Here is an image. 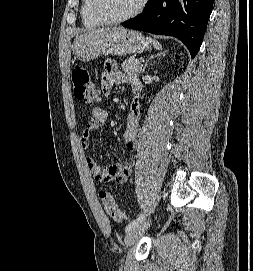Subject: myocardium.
Segmentation results:
<instances>
[{
    "label": "myocardium",
    "instance_id": "myocardium-1",
    "mask_svg": "<svg viewBox=\"0 0 253 271\" xmlns=\"http://www.w3.org/2000/svg\"><path fill=\"white\" fill-rule=\"evenodd\" d=\"M148 0H140L138 5L136 6V8L130 12L129 14L120 17V18H108L102 11L101 9V0H93L92 3V10L93 13L95 15V17L102 23L105 25H116V24H120L123 22H126L130 19L135 18L136 16H138L139 14L142 13V11L144 10L146 4H147Z\"/></svg>",
    "mask_w": 253,
    "mask_h": 271
}]
</instances>
